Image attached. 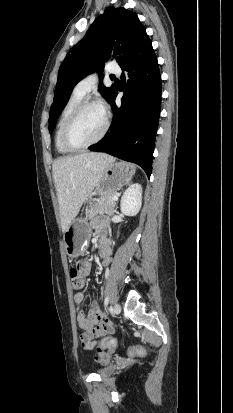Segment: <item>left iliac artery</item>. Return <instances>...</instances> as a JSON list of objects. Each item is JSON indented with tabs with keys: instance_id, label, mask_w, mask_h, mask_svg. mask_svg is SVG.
Masks as SVG:
<instances>
[{
	"instance_id": "obj_1",
	"label": "left iliac artery",
	"mask_w": 233,
	"mask_h": 413,
	"mask_svg": "<svg viewBox=\"0 0 233 413\" xmlns=\"http://www.w3.org/2000/svg\"><path fill=\"white\" fill-rule=\"evenodd\" d=\"M108 303H109V298L106 297L105 300H104V306L107 307Z\"/></svg>"
}]
</instances>
